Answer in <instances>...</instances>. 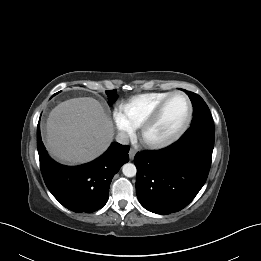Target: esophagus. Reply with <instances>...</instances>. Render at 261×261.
I'll use <instances>...</instances> for the list:
<instances>
[{
	"label": "esophagus",
	"instance_id": "1",
	"mask_svg": "<svg viewBox=\"0 0 261 261\" xmlns=\"http://www.w3.org/2000/svg\"><path fill=\"white\" fill-rule=\"evenodd\" d=\"M135 154H136V150L131 148L129 150V157H130L131 160L134 158Z\"/></svg>",
	"mask_w": 261,
	"mask_h": 261
}]
</instances>
